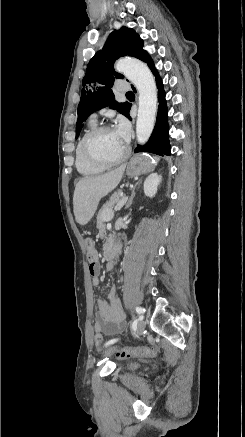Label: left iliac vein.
Here are the masks:
<instances>
[{
    "instance_id": "4c4485c4",
    "label": "left iliac vein",
    "mask_w": 245,
    "mask_h": 437,
    "mask_svg": "<svg viewBox=\"0 0 245 437\" xmlns=\"http://www.w3.org/2000/svg\"><path fill=\"white\" fill-rule=\"evenodd\" d=\"M145 327H146V322H145L144 320H140L139 323H138L137 337H138L140 334H142V332L144 331ZM115 349H116L115 347H110V348L105 352V354H106V355H107V354H111V353H113V352L115 351Z\"/></svg>"
}]
</instances>
